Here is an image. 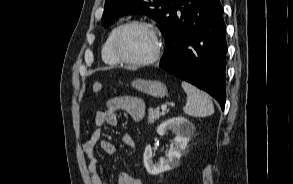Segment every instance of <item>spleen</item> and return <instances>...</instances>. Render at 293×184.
<instances>
[{
    "label": "spleen",
    "mask_w": 293,
    "mask_h": 184,
    "mask_svg": "<svg viewBox=\"0 0 293 184\" xmlns=\"http://www.w3.org/2000/svg\"><path fill=\"white\" fill-rule=\"evenodd\" d=\"M181 85L187 94V103L183 107L184 113L193 117H206L214 113L213 103L207 93L185 81H182Z\"/></svg>",
    "instance_id": "obj_1"
}]
</instances>
